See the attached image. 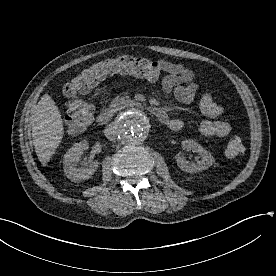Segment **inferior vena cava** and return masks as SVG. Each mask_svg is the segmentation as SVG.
Masks as SVG:
<instances>
[{
    "label": "inferior vena cava",
    "mask_w": 276,
    "mask_h": 276,
    "mask_svg": "<svg viewBox=\"0 0 276 276\" xmlns=\"http://www.w3.org/2000/svg\"><path fill=\"white\" fill-rule=\"evenodd\" d=\"M104 133L108 139L115 140L117 135L116 125L114 123L109 124L104 130Z\"/></svg>",
    "instance_id": "1"
}]
</instances>
